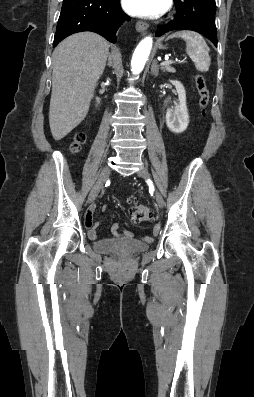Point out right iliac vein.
Listing matches in <instances>:
<instances>
[{
	"mask_svg": "<svg viewBox=\"0 0 254 397\" xmlns=\"http://www.w3.org/2000/svg\"><path fill=\"white\" fill-rule=\"evenodd\" d=\"M109 175H110V168L108 166H106L101 171V174L99 176V179H98L96 185L93 187V189L91 190V192L89 194V197H88L89 203H91L95 200V198L97 197L101 188L103 187L104 183L108 179Z\"/></svg>",
	"mask_w": 254,
	"mask_h": 397,
	"instance_id": "right-iliac-vein-1",
	"label": "right iliac vein"
}]
</instances>
